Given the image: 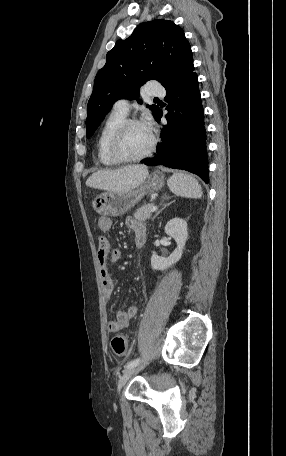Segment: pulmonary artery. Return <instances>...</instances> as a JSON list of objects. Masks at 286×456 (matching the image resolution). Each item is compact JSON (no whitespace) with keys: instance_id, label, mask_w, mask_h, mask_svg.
Wrapping results in <instances>:
<instances>
[{"instance_id":"pulmonary-artery-1","label":"pulmonary artery","mask_w":286,"mask_h":456,"mask_svg":"<svg viewBox=\"0 0 286 456\" xmlns=\"http://www.w3.org/2000/svg\"><path fill=\"white\" fill-rule=\"evenodd\" d=\"M148 93L152 96H164L166 91L164 88L151 83L148 88ZM113 109L127 115L130 110V103L126 99H119L114 103Z\"/></svg>"}]
</instances>
